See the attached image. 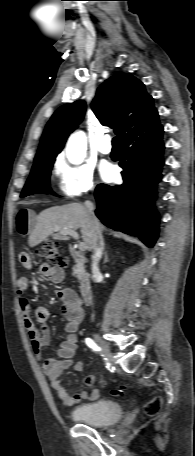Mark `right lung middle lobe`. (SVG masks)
I'll list each match as a JSON object with an SVG mask.
<instances>
[{
  "label": "right lung middle lobe",
  "instance_id": "1",
  "mask_svg": "<svg viewBox=\"0 0 195 456\" xmlns=\"http://www.w3.org/2000/svg\"><path fill=\"white\" fill-rule=\"evenodd\" d=\"M55 159H48L33 165L30 177L28 178L21 197L34 193L54 194L49 186L51 168Z\"/></svg>",
  "mask_w": 195,
  "mask_h": 456
}]
</instances>
